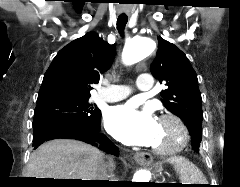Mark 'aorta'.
Listing matches in <instances>:
<instances>
[{"label": "aorta", "mask_w": 240, "mask_h": 187, "mask_svg": "<svg viewBox=\"0 0 240 187\" xmlns=\"http://www.w3.org/2000/svg\"><path fill=\"white\" fill-rule=\"evenodd\" d=\"M155 42L147 37H134L124 48L123 62L126 65L134 64L153 53ZM151 174L147 170L137 171L132 182H149Z\"/></svg>", "instance_id": "obj_1"}]
</instances>
